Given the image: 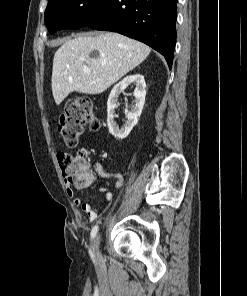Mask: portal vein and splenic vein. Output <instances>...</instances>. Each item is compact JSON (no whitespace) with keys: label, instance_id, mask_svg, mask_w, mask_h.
<instances>
[{"label":"portal vein and splenic vein","instance_id":"1","mask_svg":"<svg viewBox=\"0 0 247 296\" xmlns=\"http://www.w3.org/2000/svg\"><path fill=\"white\" fill-rule=\"evenodd\" d=\"M84 72H86V73H90V69L85 68V69H84Z\"/></svg>","mask_w":247,"mask_h":296}]
</instances>
